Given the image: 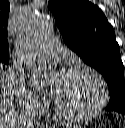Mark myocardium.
Returning <instances> with one entry per match:
<instances>
[{"mask_svg":"<svg viewBox=\"0 0 125 128\" xmlns=\"http://www.w3.org/2000/svg\"><path fill=\"white\" fill-rule=\"evenodd\" d=\"M77 73H87L90 76H92L94 79L99 84L100 88V98L95 107L92 109L85 111V112H80V113H72V112H67L61 108V106L57 103L56 100H54V110L55 113L62 119L71 121V122H80V121H86L90 120L92 118H95L97 115H99L102 110L105 108L108 102L109 98V92H108V86L103 78V76L96 70H94L91 67L85 66V65H76L71 68H69L66 71L65 75H72V74H77Z\"/></svg>","mask_w":125,"mask_h":128,"instance_id":"1","label":"myocardium"}]
</instances>
